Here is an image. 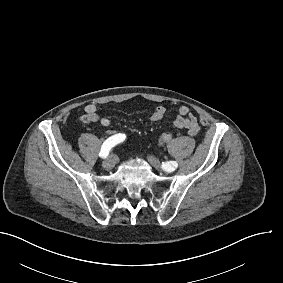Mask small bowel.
<instances>
[{
	"label": "small bowel",
	"instance_id": "small-bowel-1",
	"mask_svg": "<svg viewBox=\"0 0 283 283\" xmlns=\"http://www.w3.org/2000/svg\"><path fill=\"white\" fill-rule=\"evenodd\" d=\"M167 108L164 105L157 106L149 117L152 123L160 122L166 115ZM82 123H98L103 127H109L111 121L108 117L102 116L97 111L95 104H87L84 108V113L80 116ZM173 125L176 128L186 129L191 136L197 135L199 132V124L197 117L191 112L190 108L182 105L178 108V113L173 120ZM114 131L110 130L109 134Z\"/></svg>",
	"mask_w": 283,
	"mask_h": 283
}]
</instances>
